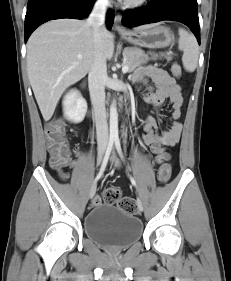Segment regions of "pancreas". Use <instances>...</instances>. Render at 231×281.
<instances>
[{
	"instance_id": "cf45deb5",
	"label": "pancreas",
	"mask_w": 231,
	"mask_h": 281,
	"mask_svg": "<svg viewBox=\"0 0 231 281\" xmlns=\"http://www.w3.org/2000/svg\"><path fill=\"white\" fill-rule=\"evenodd\" d=\"M150 55L151 58L148 56V54H145V52L139 48L127 47L123 50L124 63L129 67V72L134 71L142 63H145L150 59L156 60L159 57V55L155 53H150ZM160 57H165L167 61L172 60V57L168 54L166 55L161 53Z\"/></svg>"
}]
</instances>
